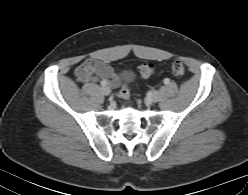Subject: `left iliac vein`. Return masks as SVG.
Here are the masks:
<instances>
[{"label": "left iliac vein", "instance_id": "left-iliac-vein-1", "mask_svg": "<svg viewBox=\"0 0 248 195\" xmlns=\"http://www.w3.org/2000/svg\"><path fill=\"white\" fill-rule=\"evenodd\" d=\"M151 101L152 102H157L160 98V94L158 91H153L150 95Z\"/></svg>", "mask_w": 248, "mask_h": 195}]
</instances>
